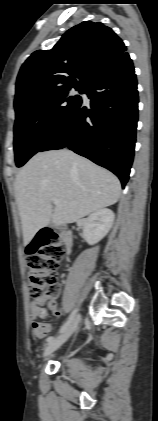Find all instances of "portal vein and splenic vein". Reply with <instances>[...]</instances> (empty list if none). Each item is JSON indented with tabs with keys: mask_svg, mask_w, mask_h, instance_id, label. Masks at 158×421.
Returning <instances> with one entry per match:
<instances>
[{
	"mask_svg": "<svg viewBox=\"0 0 158 421\" xmlns=\"http://www.w3.org/2000/svg\"><path fill=\"white\" fill-rule=\"evenodd\" d=\"M53 204H54L55 206H58V205H59V200H54V201H53Z\"/></svg>",
	"mask_w": 158,
	"mask_h": 421,
	"instance_id": "portal-vein-and-splenic-vein-1",
	"label": "portal vein and splenic vein"
}]
</instances>
